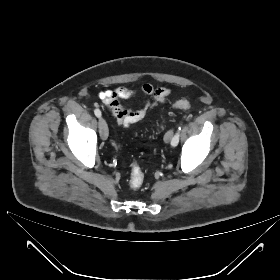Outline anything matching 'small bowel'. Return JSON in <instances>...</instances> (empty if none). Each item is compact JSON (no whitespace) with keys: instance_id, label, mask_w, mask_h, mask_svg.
I'll use <instances>...</instances> for the list:
<instances>
[{"instance_id":"obj_1","label":"small bowel","mask_w":280,"mask_h":280,"mask_svg":"<svg viewBox=\"0 0 280 280\" xmlns=\"http://www.w3.org/2000/svg\"><path fill=\"white\" fill-rule=\"evenodd\" d=\"M138 94L148 98L142 108L133 110L123 104L122 101L133 99ZM170 94L171 91L167 87H155L151 83H144L139 90L121 86L113 90L102 91L100 99L110 110L117 124L128 128L133 124L142 122L150 112L154 111L160 104L165 103Z\"/></svg>"}]
</instances>
